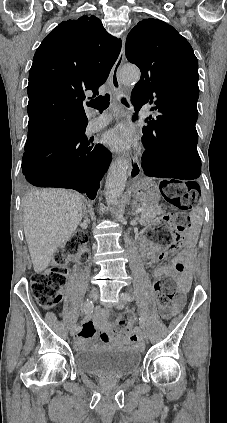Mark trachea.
<instances>
[{"label": "trachea", "instance_id": "obj_1", "mask_svg": "<svg viewBox=\"0 0 227 423\" xmlns=\"http://www.w3.org/2000/svg\"><path fill=\"white\" fill-rule=\"evenodd\" d=\"M110 103V95L106 93L104 96L99 95V97L95 98V100H91L88 105L90 107L96 108L99 112H103L106 108L109 107ZM121 103L129 107V103L127 102L126 98L121 97Z\"/></svg>", "mask_w": 227, "mask_h": 423}]
</instances>
